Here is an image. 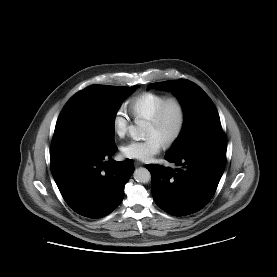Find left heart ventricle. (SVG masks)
I'll return each instance as SVG.
<instances>
[{
	"mask_svg": "<svg viewBox=\"0 0 277 277\" xmlns=\"http://www.w3.org/2000/svg\"><path fill=\"white\" fill-rule=\"evenodd\" d=\"M178 120V109L174 104H172L167 108L164 119L160 125L155 126L148 123L146 135H156L164 143L175 131Z\"/></svg>",
	"mask_w": 277,
	"mask_h": 277,
	"instance_id": "obj_1",
	"label": "left heart ventricle"
}]
</instances>
